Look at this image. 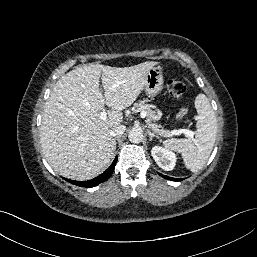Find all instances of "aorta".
<instances>
[{
    "label": "aorta",
    "instance_id": "aorta-1",
    "mask_svg": "<svg viewBox=\"0 0 257 257\" xmlns=\"http://www.w3.org/2000/svg\"><path fill=\"white\" fill-rule=\"evenodd\" d=\"M129 141L132 143H139L143 139V132L140 128H133L128 135Z\"/></svg>",
    "mask_w": 257,
    "mask_h": 257
}]
</instances>
